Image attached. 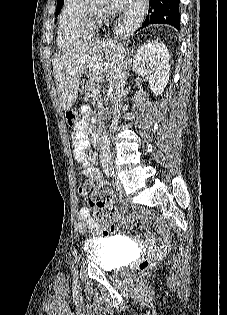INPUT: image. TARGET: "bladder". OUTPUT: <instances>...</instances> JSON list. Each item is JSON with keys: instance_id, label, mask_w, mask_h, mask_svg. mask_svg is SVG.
I'll list each match as a JSON object with an SVG mask.
<instances>
[{"instance_id": "bladder-1", "label": "bladder", "mask_w": 227, "mask_h": 315, "mask_svg": "<svg viewBox=\"0 0 227 315\" xmlns=\"http://www.w3.org/2000/svg\"><path fill=\"white\" fill-rule=\"evenodd\" d=\"M128 247L119 239L92 237L83 244L86 259L103 270H114L124 265Z\"/></svg>"}]
</instances>
